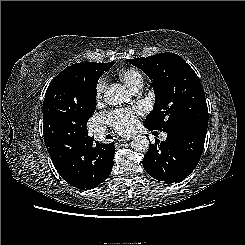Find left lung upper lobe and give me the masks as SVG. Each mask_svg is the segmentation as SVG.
<instances>
[{"instance_id": "left-lung-upper-lobe-1", "label": "left lung upper lobe", "mask_w": 245, "mask_h": 245, "mask_svg": "<svg viewBox=\"0 0 245 245\" xmlns=\"http://www.w3.org/2000/svg\"><path fill=\"white\" fill-rule=\"evenodd\" d=\"M128 61L152 80L156 101L146 126L170 133L195 124L208 125L202 84L181 56L161 53Z\"/></svg>"}]
</instances>
